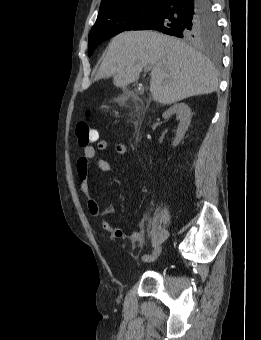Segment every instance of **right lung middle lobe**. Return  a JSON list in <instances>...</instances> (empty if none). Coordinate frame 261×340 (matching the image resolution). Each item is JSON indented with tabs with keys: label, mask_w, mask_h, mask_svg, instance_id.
Instances as JSON below:
<instances>
[{
	"label": "right lung middle lobe",
	"mask_w": 261,
	"mask_h": 340,
	"mask_svg": "<svg viewBox=\"0 0 261 340\" xmlns=\"http://www.w3.org/2000/svg\"><path fill=\"white\" fill-rule=\"evenodd\" d=\"M162 0L136 1L108 9L98 15L88 36L89 56L103 41L120 32L132 30L145 20L159 6ZM191 42H206L217 45L220 32L215 15L212 13L190 19L184 27L182 37Z\"/></svg>",
	"instance_id": "obj_1"
}]
</instances>
